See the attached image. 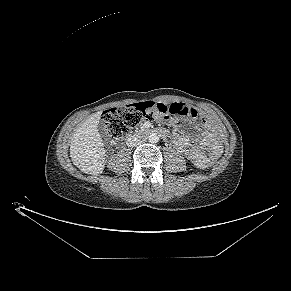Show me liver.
Wrapping results in <instances>:
<instances>
[{
	"label": "liver",
	"mask_w": 291,
	"mask_h": 291,
	"mask_svg": "<svg viewBox=\"0 0 291 291\" xmlns=\"http://www.w3.org/2000/svg\"><path fill=\"white\" fill-rule=\"evenodd\" d=\"M101 114V111L96 112L85 120L70 144L73 164L87 174H100L105 167V149L97 129Z\"/></svg>",
	"instance_id": "obj_1"
}]
</instances>
